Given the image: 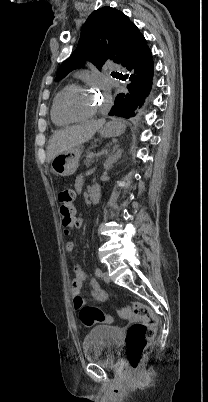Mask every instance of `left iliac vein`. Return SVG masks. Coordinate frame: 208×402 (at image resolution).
<instances>
[{
	"label": "left iliac vein",
	"mask_w": 208,
	"mask_h": 402,
	"mask_svg": "<svg viewBox=\"0 0 208 402\" xmlns=\"http://www.w3.org/2000/svg\"><path fill=\"white\" fill-rule=\"evenodd\" d=\"M101 278L104 280V282L109 283L110 282V277L107 272H103Z\"/></svg>",
	"instance_id": "obj_1"
}]
</instances>
